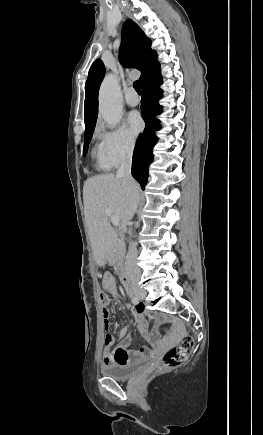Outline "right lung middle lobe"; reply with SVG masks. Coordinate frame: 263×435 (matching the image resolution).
<instances>
[{
	"label": "right lung middle lobe",
	"instance_id": "dd1d6c3e",
	"mask_svg": "<svg viewBox=\"0 0 263 435\" xmlns=\"http://www.w3.org/2000/svg\"><path fill=\"white\" fill-rule=\"evenodd\" d=\"M93 131H94V127L90 128L88 130H85V134H84L85 135V144H84V150H83L84 154L87 152L88 144L91 140Z\"/></svg>",
	"mask_w": 263,
	"mask_h": 435
}]
</instances>
